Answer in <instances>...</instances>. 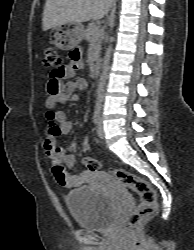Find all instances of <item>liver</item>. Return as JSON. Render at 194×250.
<instances>
[{
	"label": "liver",
	"mask_w": 194,
	"mask_h": 250,
	"mask_svg": "<svg viewBox=\"0 0 194 250\" xmlns=\"http://www.w3.org/2000/svg\"><path fill=\"white\" fill-rule=\"evenodd\" d=\"M111 4L112 0H46L42 29L101 19L108 14Z\"/></svg>",
	"instance_id": "liver-1"
}]
</instances>
